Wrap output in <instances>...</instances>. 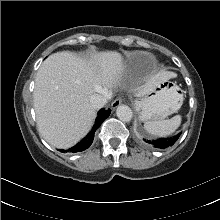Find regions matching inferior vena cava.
Here are the masks:
<instances>
[{
  "label": "inferior vena cava",
  "mask_w": 220,
  "mask_h": 220,
  "mask_svg": "<svg viewBox=\"0 0 220 220\" xmlns=\"http://www.w3.org/2000/svg\"><path fill=\"white\" fill-rule=\"evenodd\" d=\"M111 95L108 90H104L101 93H96L91 96L90 103L95 109L102 108L110 99Z\"/></svg>",
  "instance_id": "obj_1"
}]
</instances>
